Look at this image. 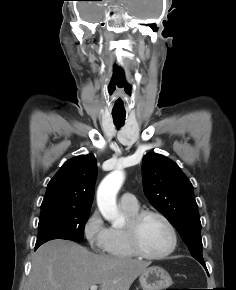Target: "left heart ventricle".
<instances>
[{"mask_svg": "<svg viewBox=\"0 0 236 290\" xmlns=\"http://www.w3.org/2000/svg\"><path fill=\"white\" fill-rule=\"evenodd\" d=\"M142 248L150 254L166 251L171 244V235L162 220L155 216L146 217L139 231Z\"/></svg>", "mask_w": 236, "mask_h": 290, "instance_id": "b2bd125f", "label": "left heart ventricle"}]
</instances>
